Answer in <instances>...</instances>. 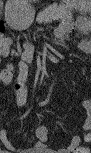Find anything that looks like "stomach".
<instances>
[{
    "label": "stomach",
    "instance_id": "stomach-1",
    "mask_svg": "<svg viewBox=\"0 0 91 153\" xmlns=\"http://www.w3.org/2000/svg\"><path fill=\"white\" fill-rule=\"evenodd\" d=\"M71 6H73L76 9H79L81 5L85 4V1L81 0H72L70 1Z\"/></svg>",
    "mask_w": 91,
    "mask_h": 153
}]
</instances>
